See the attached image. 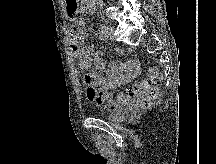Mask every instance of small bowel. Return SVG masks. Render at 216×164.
Instances as JSON below:
<instances>
[{"label": "small bowel", "mask_w": 216, "mask_h": 164, "mask_svg": "<svg viewBox=\"0 0 216 164\" xmlns=\"http://www.w3.org/2000/svg\"><path fill=\"white\" fill-rule=\"evenodd\" d=\"M73 24L69 30V39L78 59L79 67L83 70L90 69L92 64L96 67L95 71L88 72L83 78L87 99L97 105H103L107 101L102 93L113 91L120 85L134 79L139 73V65L134 60L128 62L113 61L109 67H106L102 51L94 53L91 46L84 45L83 33L77 28V25H85L84 19H74ZM105 107L108 111H112L118 105L107 103Z\"/></svg>", "instance_id": "small-bowel-1"}]
</instances>
